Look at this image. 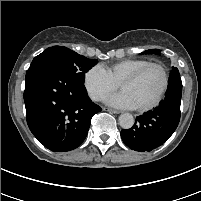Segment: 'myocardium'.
<instances>
[{"mask_svg":"<svg viewBox=\"0 0 201 201\" xmlns=\"http://www.w3.org/2000/svg\"><path fill=\"white\" fill-rule=\"evenodd\" d=\"M152 67H157L160 69V71L162 72L163 75V85L162 88L159 92V94L157 95V97L150 103L143 105V106H138L135 107L136 110L138 111H148L150 109L155 108L164 98L165 94L167 93V90L169 88V83H170V76H169V72L168 69L166 68V66L160 62H149L148 64L140 67L139 69H137L136 71H134L133 73H131L130 75H128L127 77H125L120 83H119V87L120 89L129 83L134 82L135 80H137L146 70H148L149 68Z\"/></svg>","mask_w":201,"mask_h":201,"instance_id":"f54148a6","label":"myocardium"}]
</instances>
